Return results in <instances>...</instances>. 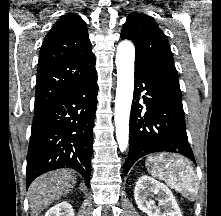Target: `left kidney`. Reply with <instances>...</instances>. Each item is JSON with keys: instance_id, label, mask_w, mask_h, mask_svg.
<instances>
[{"instance_id": "obj_1", "label": "left kidney", "mask_w": 221, "mask_h": 216, "mask_svg": "<svg viewBox=\"0 0 221 216\" xmlns=\"http://www.w3.org/2000/svg\"><path fill=\"white\" fill-rule=\"evenodd\" d=\"M150 192L158 195V206H154V202L148 199ZM134 197L138 208L148 216H182L170 189L148 175L141 176L136 182Z\"/></svg>"}]
</instances>
